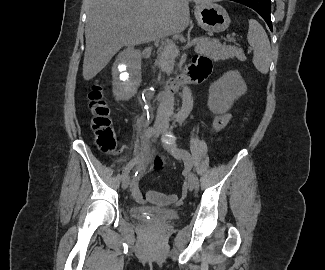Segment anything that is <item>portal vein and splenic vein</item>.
<instances>
[{
	"label": "portal vein and splenic vein",
	"instance_id": "portal-vein-and-splenic-vein-1",
	"mask_svg": "<svg viewBox=\"0 0 325 270\" xmlns=\"http://www.w3.org/2000/svg\"><path fill=\"white\" fill-rule=\"evenodd\" d=\"M232 41V40H231ZM197 42H198V39H194L193 41H191L188 45H186L185 47H184V49L185 48H188V47H190V46H193V45H195V44H197ZM169 43L172 45V46H175L176 47V45L172 42V41H169ZM177 48V47H176Z\"/></svg>",
	"mask_w": 325,
	"mask_h": 270
}]
</instances>
